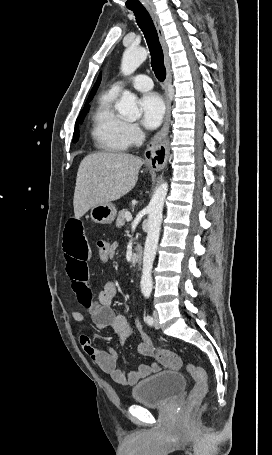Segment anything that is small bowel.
Instances as JSON below:
<instances>
[{
  "label": "small bowel",
  "mask_w": 272,
  "mask_h": 455,
  "mask_svg": "<svg viewBox=\"0 0 272 455\" xmlns=\"http://www.w3.org/2000/svg\"><path fill=\"white\" fill-rule=\"evenodd\" d=\"M117 248L118 245L116 243L109 245L111 258L116 254ZM63 249L71 288L79 306L85 313L90 315L98 329H111L117 335L119 342L123 344L131 333V327L126 318L121 314L115 313L112 308L113 298L117 293L116 284L111 280H106L98 299L94 300L92 296L88 270L91 250L80 219L71 218L66 223ZM82 310H74L72 312V318L77 324L84 322ZM137 328L142 336V342L138 346V353L143 357H151L154 352L152 341L139 322H137ZM79 342L91 360L103 372L109 374L114 382L121 386H132L160 370V365L154 362L150 365L141 364L136 370L125 373L118 368V354L115 350L111 348L105 350L97 349L93 346L91 339L85 334L79 337Z\"/></svg>",
  "instance_id": "obj_1"
}]
</instances>
